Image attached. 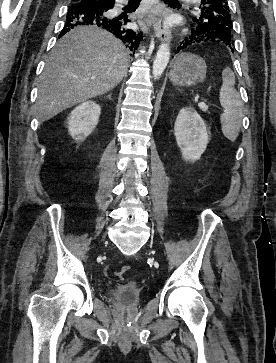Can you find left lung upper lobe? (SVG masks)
<instances>
[{"instance_id":"1","label":"left lung upper lobe","mask_w":276,"mask_h":363,"mask_svg":"<svg viewBox=\"0 0 276 363\" xmlns=\"http://www.w3.org/2000/svg\"><path fill=\"white\" fill-rule=\"evenodd\" d=\"M201 3L200 16L193 18L194 27L231 47L233 25L227 0H201Z\"/></svg>"}]
</instances>
